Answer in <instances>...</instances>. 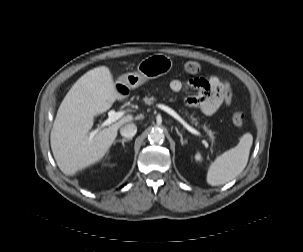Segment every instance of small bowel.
Wrapping results in <instances>:
<instances>
[{
    "instance_id": "small-bowel-1",
    "label": "small bowel",
    "mask_w": 303,
    "mask_h": 252,
    "mask_svg": "<svg viewBox=\"0 0 303 252\" xmlns=\"http://www.w3.org/2000/svg\"><path fill=\"white\" fill-rule=\"evenodd\" d=\"M184 87L197 91V95L184 99L185 106L198 108L205 115H213L222 105H229L232 101L231 85L218 76L196 78L187 84L178 79L170 83V89L176 93L181 92Z\"/></svg>"
}]
</instances>
